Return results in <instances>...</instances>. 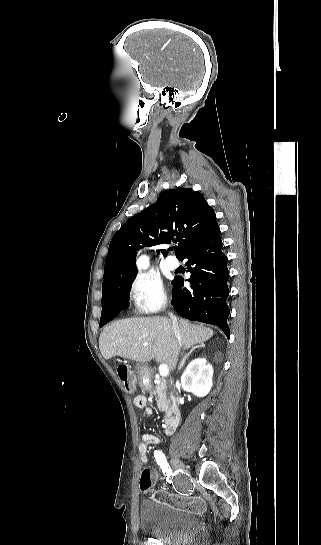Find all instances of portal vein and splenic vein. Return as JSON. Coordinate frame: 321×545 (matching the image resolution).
<instances>
[{"label":"portal vein and splenic vein","mask_w":321,"mask_h":545,"mask_svg":"<svg viewBox=\"0 0 321 545\" xmlns=\"http://www.w3.org/2000/svg\"><path fill=\"white\" fill-rule=\"evenodd\" d=\"M146 345H148V343H144V347H146ZM159 373H160L161 377H167V375H169V369H168L167 365H160Z\"/></svg>","instance_id":"obj_1"}]
</instances>
